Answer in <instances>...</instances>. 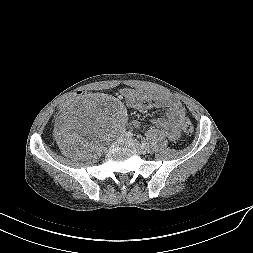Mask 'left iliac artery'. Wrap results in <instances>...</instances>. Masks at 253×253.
Returning a JSON list of instances; mask_svg holds the SVG:
<instances>
[{"label":"left iliac artery","mask_w":253,"mask_h":253,"mask_svg":"<svg viewBox=\"0 0 253 253\" xmlns=\"http://www.w3.org/2000/svg\"><path fill=\"white\" fill-rule=\"evenodd\" d=\"M141 146L146 149L148 147V143L147 142H142Z\"/></svg>","instance_id":"1"}]
</instances>
